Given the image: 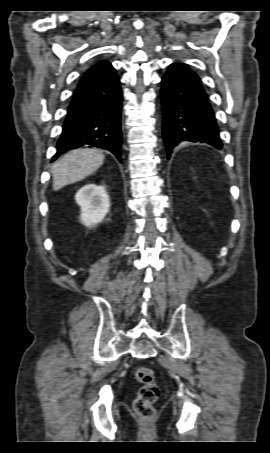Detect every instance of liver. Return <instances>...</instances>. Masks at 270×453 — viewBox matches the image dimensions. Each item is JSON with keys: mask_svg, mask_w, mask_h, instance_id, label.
<instances>
[{"mask_svg": "<svg viewBox=\"0 0 270 453\" xmlns=\"http://www.w3.org/2000/svg\"><path fill=\"white\" fill-rule=\"evenodd\" d=\"M104 154L97 149H76L53 164V190L75 183L94 173L104 162Z\"/></svg>", "mask_w": 270, "mask_h": 453, "instance_id": "6515ba94", "label": "liver"}]
</instances>
